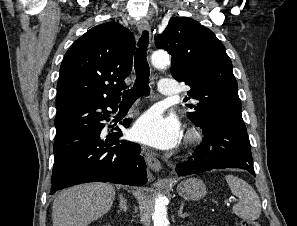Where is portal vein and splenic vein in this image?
Instances as JSON below:
<instances>
[{
	"mask_svg": "<svg viewBox=\"0 0 297 226\" xmlns=\"http://www.w3.org/2000/svg\"><path fill=\"white\" fill-rule=\"evenodd\" d=\"M231 201H236V199L235 198H233V200H225V203H227V204H229V202H231Z\"/></svg>",
	"mask_w": 297,
	"mask_h": 226,
	"instance_id": "portal-vein-and-splenic-vein-1",
	"label": "portal vein and splenic vein"
}]
</instances>
